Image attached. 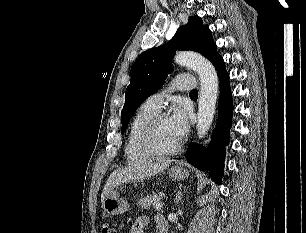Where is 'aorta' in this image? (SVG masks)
Returning a JSON list of instances; mask_svg holds the SVG:
<instances>
[{
	"label": "aorta",
	"instance_id": "1",
	"mask_svg": "<svg viewBox=\"0 0 306 233\" xmlns=\"http://www.w3.org/2000/svg\"><path fill=\"white\" fill-rule=\"evenodd\" d=\"M175 62L195 70L200 79V95L197 113V135L203 139L208 133L215 114L218 97V76L212 63L194 52H178Z\"/></svg>",
	"mask_w": 306,
	"mask_h": 233
}]
</instances>
